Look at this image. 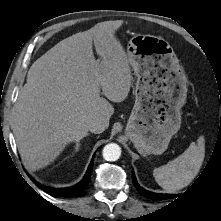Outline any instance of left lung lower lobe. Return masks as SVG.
I'll list each match as a JSON object with an SVG mask.
<instances>
[{
	"label": "left lung lower lobe",
	"mask_w": 221,
	"mask_h": 221,
	"mask_svg": "<svg viewBox=\"0 0 221 221\" xmlns=\"http://www.w3.org/2000/svg\"><path fill=\"white\" fill-rule=\"evenodd\" d=\"M132 181H133V184L135 185V187L137 188V190L139 191V193L142 196L147 197L149 199H152V200H164V199H169V198H173V197L177 196V195H170V194L153 193V192H150V191H147V190L143 189L137 183L135 175H134V172H132Z\"/></svg>",
	"instance_id": "left-lung-lower-lobe-1"
}]
</instances>
